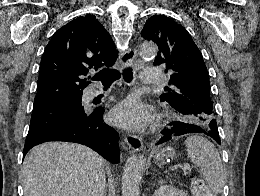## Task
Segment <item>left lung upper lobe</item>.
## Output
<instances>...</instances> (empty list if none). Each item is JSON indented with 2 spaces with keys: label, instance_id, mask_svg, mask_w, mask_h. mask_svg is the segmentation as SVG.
I'll use <instances>...</instances> for the list:
<instances>
[{
  "label": "left lung upper lobe",
  "instance_id": "left-lung-upper-lobe-1",
  "mask_svg": "<svg viewBox=\"0 0 260 196\" xmlns=\"http://www.w3.org/2000/svg\"><path fill=\"white\" fill-rule=\"evenodd\" d=\"M141 36L159 47L154 66H163L165 73L171 74L170 87H165L167 93L160 96L161 102H168L182 121L207 129L216 121L210 84L202 55L189 33L173 19L153 15ZM196 109L204 112H195Z\"/></svg>",
  "mask_w": 260,
  "mask_h": 196
}]
</instances>
